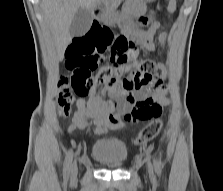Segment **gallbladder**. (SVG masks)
Listing matches in <instances>:
<instances>
[{"instance_id": "bac80fb5", "label": "gallbladder", "mask_w": 223, "mask_h": 191, "mask_svg": "<svg viewBox=\"0 0 223 191\" xmlns=\"http://www.w3.org/2000/svg\"><path fill=\"white\" fill-rule=\"evenodd\" d=\"M93 17L89 10L79 8L74 15L69 32L72 37H81L90 29Z\"/></svg>"}]
</instances>
